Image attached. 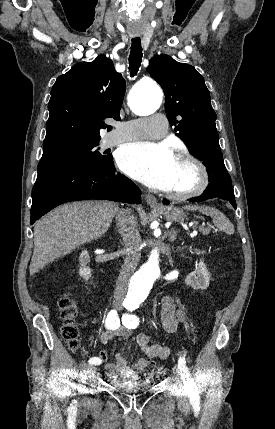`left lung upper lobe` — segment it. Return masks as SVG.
I'll use <instances>...</instances> for the list:
<instances>
[{"instance_id":"5c2ea615","label":"left lung upper lobe","mask_w":275,"mask_h":429,"mask_svg":"<svg viewBox=\"0 0 275 429\" xmlns=\"http://www.w3.org/2000/svg\"><path fill=\"white\" fill-rule=\"evenodd\" d=\"M147 70L164 90L170 125L190 153L206 166L210 182L232 183L219 146L216 113L203 77L193 66L165 54L152 57Z\"/></svg>"}]
</instances>
